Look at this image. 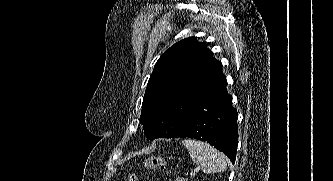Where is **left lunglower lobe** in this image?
<instances>
[{"label":"left lung lower lobe","mask_w":333,"mask_h":181,"mask_svg":"<svg viewBox=\"0 0 333 181\" xmlns=\"http://www.w3.org/2000/svg\"><path fill=\"white\" fill-rule=\"evenodd\" d=\"M226 85L224 77L202 108L183 123H175L178 129L176 134L162 138L188 137L207 141L226 154L234 164L238 143V113L232 106V96L226 91Z\"/></svg>","instance_id":"obj_1"}]
</instances>
